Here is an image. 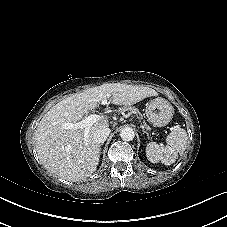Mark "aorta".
Segmentation results:
<instances>
[{
	"label": "aorta",
	"mask_w": 227,
	"mask_h": 227,
	"mask_svg": "<svg viewBox=\"0 0 227 227\" xmlns=\"http://www.w3.org/2000/svg\"><path fill=\"white\" fill-rule=\"evenodd\" d=\"M134 131L130 127L123 128L120 132V137L124 141H132L134 139Z\"/></svg>",
	"instance_id": "aorta-1"
}]
</instances>
